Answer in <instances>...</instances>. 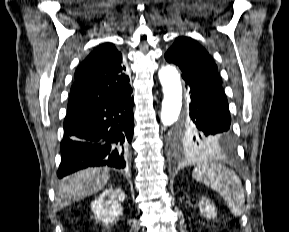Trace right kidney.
<instances>
[{
	"label": "right kidney",
	"mask_w": 289,
	"mask_h": 232,
	"mask_svg": "<svg viewBox=\"0 0 289 232\" xmlns=\"http://www.w3.org/2000/svg\"><path fill=\"white\" fill-rule=\"evenodd\" d=\"M125 194L119 188H108L92 202L91 209L97 221L107 226L122 215Z\"/></svg>",
	"instance_id": "1"
}]
</instances>
